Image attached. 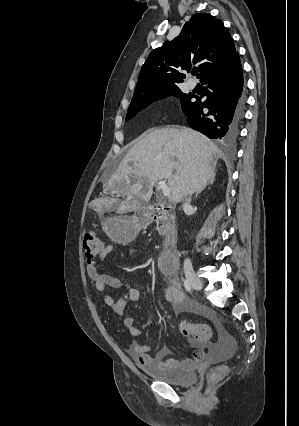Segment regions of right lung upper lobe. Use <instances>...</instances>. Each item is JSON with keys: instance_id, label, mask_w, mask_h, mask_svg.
<instances>
[{"instance_id": "obj_1", "label": "right lung upper lobe", "mask_w": 299, "mask_h": 426, "mask_svg": "<svg viewBox=\"0 0 299 426\" xmlns=\"http://www.w3.org/2000/svg\"><path fill=\"white\" fill-rule=\"evenodd\" d=\"M233 39L219 19L196 14L172 41L154 49L141 68L132 101L177 87L183 71L198 64V78L225 66L236 54Z\"/></svg>"}]
</instances>
